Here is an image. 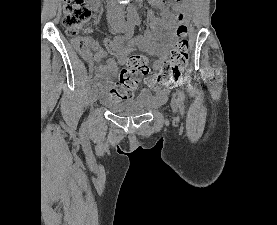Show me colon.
Segmentation results:
<instances>
[{
  "label": "colon",
  "mask_w": 277,
  "mask_h": 225,
  "mask_svg": "<svg viewBox=\"0 0 277 225\" xmlns=\"http://www.w3.org/2000/svg\"><path fill=\"white\" fill-rule=\"evenodd\" d=\"M63 25L66 32L72 37V43L78 50H88L94 47V42L82 31L89 29L91 11L85 0L63 1ZM177 40L172 48L169 59L156 73V82L160 84H174L186 67L189 59V42L187 40V26L184 24L185 16L177 13ZM149 72V60L145 55L133 54L125 59L120 70L119 78L109 91V98L113 102L130 100L139 86L142 77Z\"/></svg>",
  "instance_id": "colon-1"
}]
</instances>
